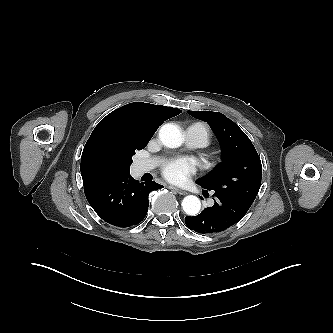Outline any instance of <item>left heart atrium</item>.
Here are the masks:
<instances>
[{
    "mask_svg": "<svg viewBox=\"0 0 333 333\" xmlns=\"http://www.w3.org/2000/svg\"><path fill=\"white\" fill-rule=\"evenodd\" d=\"M194 172V165L189 159H176L163 168L164 177L174 183H184Z\"/></svg>",
    "mask_w": 333,
    "mask_h": 333,
    "instance_id": "39dd6f15",
    "label": "left heart atrium"
}]
</instances>
